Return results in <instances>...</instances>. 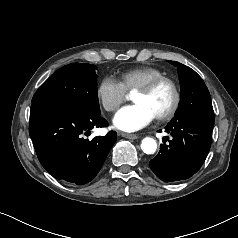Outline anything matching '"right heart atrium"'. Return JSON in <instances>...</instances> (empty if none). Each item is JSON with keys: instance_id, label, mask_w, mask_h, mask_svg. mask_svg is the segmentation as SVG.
I'll return each mask as SVG.
<instances>
[{"instance_id": "1", "label": "right heart atrium", "mask_w": 238, "mask_h": 238, "mask_svg": "<svg viewBox=\"0 0 238 238\" xmlns=\"http://www.w3.org/2000/svg\"><path fill=\"white\" fill-rule=\"evenodd\" d=\"M96 95L101 106L108 112L117 110L127 97L120 81L110 76L100 81Z\"/></svg>"}]
</instances>
